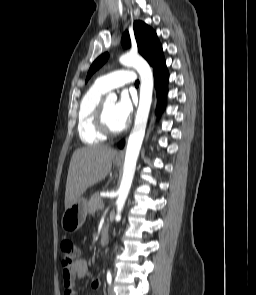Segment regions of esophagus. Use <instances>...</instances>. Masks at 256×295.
<instances>
[{
  "instance_id": "esophagus-1",
  "label": "esophagus",
  "mask_w": 256,
  "mask_h": 295,
  "mask_svg": "<svg viewBox=\"0 0 256 295\" xmlns=\"http://www.w3.org/2000/svg\"><path fill=\"white\" fill-rule=\"evenodd\" d=\"M124 156V153L122 150H120L118 153H117V158H123Z\"/></svg>"
}]
</instances>
